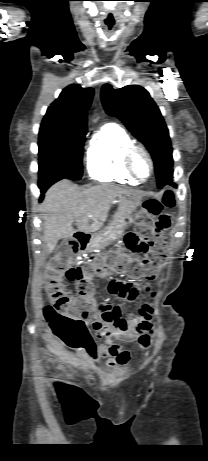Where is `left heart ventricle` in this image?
<instances>
[{
    "label": "left heart ventricle",
    "instance_id": "obj_1",
    "mask_svg": "<svg viewBox=\"0 0 208 461\" xmlns=\"http://www.w3.org/2000/svg\"><path fill=\"white\" fill-rule=\"evenodd\" d=\"M134 166L137 172L142 176L146 177L149 172V165L147 159L143 155H137L134 160Z\"/></svg>",
    "mask_w": 208,
    "mask_h": 461
}]
</instances>
